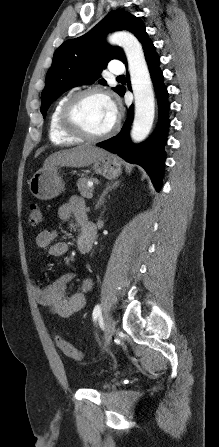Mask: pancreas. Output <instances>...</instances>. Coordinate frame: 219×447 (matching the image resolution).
<instances>
[{
	"mask_svg": "<svg viewBox=\"0 0 219 447\" xmlns=\"http://www.w3.org/2000/svg\"><path fill=\"white\" fill-rule=\"evenodd\" d=\"M88 181H94L93 178L81 177L77 181L78 190L84 198H90L93 192V188L87 185Z\"/></svg>",
	"mask_w": 219,
	"mask_h": 447,
	"instance_id": "pancreas-1",
	"label": "pancreas"
}]
</instances>
